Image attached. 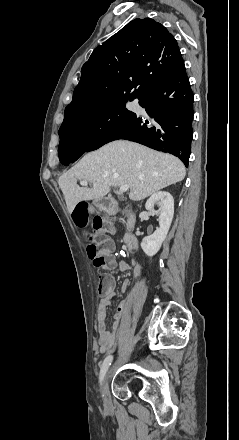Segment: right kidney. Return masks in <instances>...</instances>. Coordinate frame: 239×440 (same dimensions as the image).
Instances as JSON below:
<instances>
[{
  "instance_id": "obj_1",
  "label": "right kidney",
  "mask_w": 239,
  "mask_h": 440,
  "mask_svg": "<svg viewBox=\"0 0 239 440\" xmlns=\"http://www.w3.org/2000/svg\"><path fill=\"white\" fill-rule=\"evenodd\" d=\"M154 206H159L158 222L160 228L152 236H146L141 242V248L146 256H155L159 252L172 224L174 216V200L169 192H156L152 194L145 204L146 210L154 216Z\"/></svg>"
}]
</instances>
